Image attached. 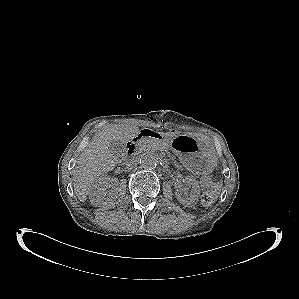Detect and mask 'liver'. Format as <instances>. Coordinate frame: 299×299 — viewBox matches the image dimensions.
Segmentation results:
<instances>
[{"label": "liver", "instance_id": "6515ba94", "mask_svg": "<svg viewBox=\"0 0 299 299\" xmlns=\"http://www.w3.org/2000/svg\"><path fill=\"white\" fill-rule=\"evenodd\" d=\"M137 134V126L116 125L104 128L92 137L73 169L74 191L79 201L85 202L94 182L114 169L117 157L109 150L112 141L126 143Z\"/></svg>", "mask_w": 299, "mask_h": 299}]
</instances>
